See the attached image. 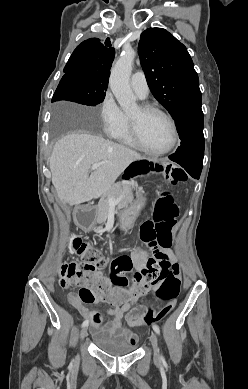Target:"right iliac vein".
<instances>
[{
    "label": "right iliac vein",
    "instance_id": "obj_1",
    "mask_svg": "<svg viewBox=\"0 0 248 389\" xmlns=\"http://www.w3.org/2000/svg\"><path fill=\"white\" fill-rule=\"evenodd\" d=\"M86 336H87V328L85 326V327H83V329L80 332V339L84 340Z\"/></svg>",
    "mask_w": 248,
    "mask_h": 389
}]
</instances>
